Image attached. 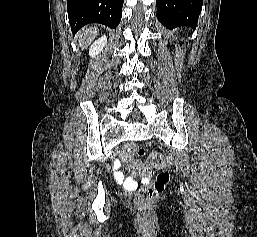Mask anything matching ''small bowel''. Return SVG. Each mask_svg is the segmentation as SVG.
I'll return each mask as SVG.
<instances>
[{"instance_id": "small-bowel-1", "label": "small bowel", "mask_w": 257, "mask_h": 237, "mask_svg": "<svg viewBox=\"0 0 257 237\" xmlns=\"http://www.w3.org/2000/svg\"><path fill=\"white\" fill-rule=\"evenodd\" d=\"M114 176L117 180L123 182L125 180L124 173L119 168V161L115 162L114 165Z\"/></svg>"}]
</instances>
